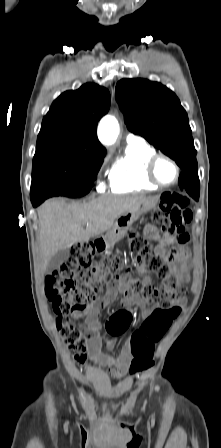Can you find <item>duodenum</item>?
<instances>
[{
    "mask_svg": "<svg viewBox=\"0 0 221 448\" xmlns=\"http://www.w3.org/2000/svg\"><path fill=\"white\" fill-rule=\"evenodd\" d=\"M95 246H96V249L99 250V251L103 250L104 247H105V245L103 243H101V242H97L95 244Z\"/></svg>",
    "mask_w": 221,
    "mask_h": 448,
    "instance_id": "duodenum-1",
    "label": "duodenum"
}]
</instances>
